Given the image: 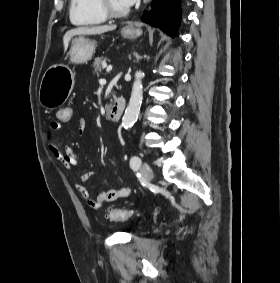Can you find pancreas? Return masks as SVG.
<instances>
[{
	"instance_id": "cf45deb5",
	"label": "pancreas",
	"mask_w": 280,
	"mask_h": 283,
	"mask_svg": "<svg viewBox=\"0 0 280 283\" xmlns=\"http://www.w3.org/2000/svg\"><path fill=\"white\" fill-rule=\"evenodd\" d=\"M106 66V60L101 57V58H96L95 61L92 64V68L94 69V73H99L104 69Z\"/></svg>"
}]
</instances>
